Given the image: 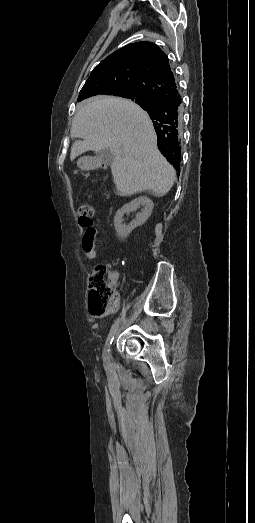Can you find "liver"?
<instances>
[{
	"label": "liver",
	"instance_id": "1",
	"mask_svg": "<svg viewBox=\"0 0 255 523\" xmlns=\"http://www.w3.org/2000/svg\"><path fill=\"white\" fill-rule=\"evenodd\" d=\"M71 136L82 138L71 148V162L89 150H111V172L121 196L142 190L165 196L171 190L175 170L159 152L152 122L137 104L113 96L90 98L79 108Z\"/></svg>",
	"mask_w": 255,
	"mask_h": 523
}]
</instances>
